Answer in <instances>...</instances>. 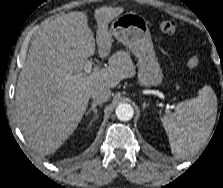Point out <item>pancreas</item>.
Returning <instances> with one entry per match:
<instances>
[{
    "mask_svg": "<svg viewBox=\"0 0 223 188\" xmlns=\"http://www.w3.org/2000/svg\"><path fill=\"white\" fill-rule=\"evenodd\" d=\"M114 58L115 59H121V58H123L125 61H127L129 63L131 62L130 57H129V54L127 52H124V51L117 52L114 55Z\"/></svg>",
    "mask_w": 223,
    "mask_h": 188,
    "instance_id": "obj_1",
    "label": "pancreas"
}]
</instances>
